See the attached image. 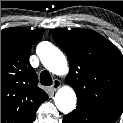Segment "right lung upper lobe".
Instances as JSON below:
<instances>
[{
  "mask_svg": "<svg viewBox=\"0 0 123 123\" xmlns=\"http://www.w3.org/2000/svg\"><path fill=\"white\" fill-rule=\"evenodd\" d=\"M42 34V29L23 27L1 30V123H33L48 99L29 63L31 46Z\"/></svg>",
  "mask_w": 123,
  "mask_h": 123,
  "instance_id": "obj_1",
  "label": "right lung upper lobe"
}]
</instances>
